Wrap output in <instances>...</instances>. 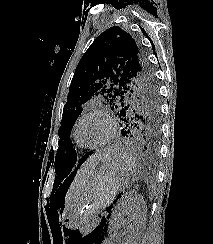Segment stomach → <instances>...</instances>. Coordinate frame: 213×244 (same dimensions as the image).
<instances>
[{"label":"stomach","instance_id":"obj_1","mask_svg":"<svg viewBox=\"0 0 213 244\" xmlns=\"http://www.w3.org/2000/svg\"><path fill=\"white\" fill-rule=\"evenodd\" d=\"M108 154L88 175L62 213V223L80 229L95 219L122 191L129 177L120 154L122 149H105Z\"/></svg>","mask_w":213,"mask_h":244}]
</instances>
